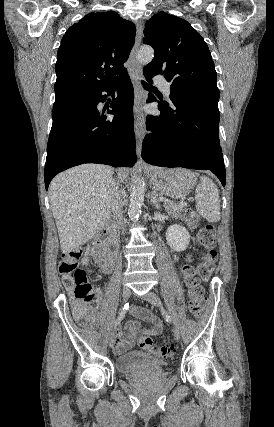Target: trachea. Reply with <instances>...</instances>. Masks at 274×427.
I'll list each match as a JSON object with an SVG mask.
<instances>
[{
    "label": "trachea",
    "mask_w": 274,
    "mask_h": 427,
    "mask_svg": "<svg viewBox=\"0 0 274 427\" xmlns=\"http://www.w3.org/2000/svg\"><path fill=\"white\" fill-rule=\"evenodd\" d=\"M143 86L146 90H157L155 87H153L152 85L147 84L146 82H143Z\"/></svg>",
    "instance_id": "obj_1"
}]
</instances>
